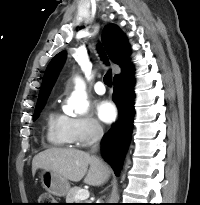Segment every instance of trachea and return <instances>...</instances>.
<instances>
[{
    "label": "trachea",
    "instance_id": "obj_1",
    "mask_svg": "<svg viewBox=\"0 0 200 205\" xmlns=\"http://www.w3.org/2000/svg\"><path fill=\"white\" fill-rule=\"evenodd\" d=\"M97 49H98V52L100 53V56H101L102 60H105V62L107 63V61H106V54H105V52H104V50H103V48H102V46L100 44L98 45ZM104 83L106 85H108V86L112 85V71L111 70H109L105 74V76H104Z\"/></svg>",
    "mask_w": 200,
    "mask_h": 205
}]
</instances>
